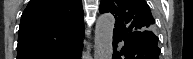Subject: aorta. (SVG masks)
<instances>
[{
  "instance_id": "aorta-1",
  "label": "aorta",
  "mask_w": 193,
  "mask_h": 59,
  "mask_svg": "<svg viewBox=\"0 0 193 59\" xmlns=\"http://www.w3.org/2000/svg\"><path fill=\"white\" fill-rule=\"evenodd\" d=\"M115 18L110 13L98 17L95 26L94 57L95 59L112 58V40Z\"/></svg>"
}]
</instances>
